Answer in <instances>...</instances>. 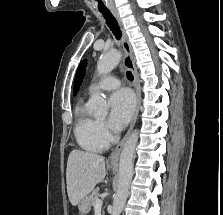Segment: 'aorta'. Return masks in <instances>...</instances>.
Returning <instances> with one entry per match:
<instances>
[{
    "mask_svg": "<svg viewBox=\"0 0 223 215\" xmlns=\"http://www.w3.org/2000/svg\"><path fill=\"white\" fill-rule=\"evenodd\" d=\"M120 60L121 52H118V50H109V52L103 54L97 62L98 74H100V76L109 74V72H112V70L118 66ZM89 108L92 109L95 115L105 117L108 113V106L106 100L103 98V94L92 96L89 100ZM137 141L138 131L134 129L133 133L127 137L120 153L118 187L113 199L112 215H119V213H121L127 199L129 185L132 181L133 157Z\"/></svg>",
    "mask_w": 223,
    "mask_h": 215,
    "instance_id": "aorta-1",
    "label": "aorta"
}]
</instances>
